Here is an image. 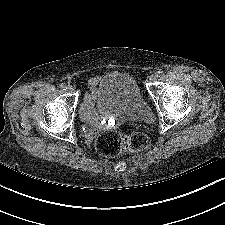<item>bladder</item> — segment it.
<instances>
[{"instance_id": "31cf9c89", "label": "bladder", "mask_w": 225, "mask_h": 225, "mask_svg": "<svg viewBox=\"0 0 225 225\" xmlns=\"http://www.w3.org/2000/svg\"><path fill=\"white\" fill-rule=\"evenodd\" d=\"M95 101L103 115L136 121H146L152 116L136 80L125 72L102 76L95 87Z\"/></svg>"}]
</instances>
